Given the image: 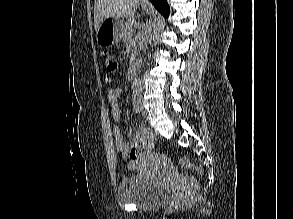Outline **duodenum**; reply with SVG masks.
Instances as JSON below:
<instances>
[{"mask_svg":"<svg viewBox=\"0 0 293 219\" xmlns=\"http://www.w3.org/2000/svg\"><path fill=\"white\" fill-rule=\"evenodd\" d=\"M138 69H139V66L136 63L131 66L129 71V78L131 81H135L137 77Z\"/></svg>","mask_w":293,"mask_h":219,"instance_id":"duodenum-1","label":"duodenum"}]
</instances>
